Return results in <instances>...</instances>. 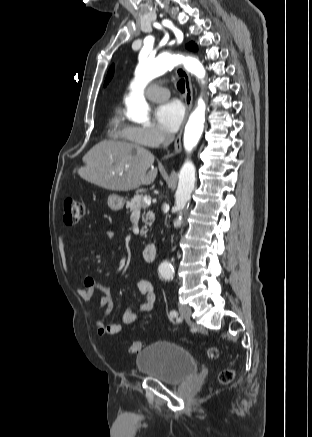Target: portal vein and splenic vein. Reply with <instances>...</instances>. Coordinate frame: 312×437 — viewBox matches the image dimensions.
Masks as SVG:
<instances>
[{
    "mask_svg": "<svg viewBox=\"0 0 312 437\" xmlns=\"http://www.w3.org/2000/svg\"><path fill=\"white\" fill-rule=\"evenodd\" d=\"M143 200H144V202H145L147 205H150V204H151V198H150L149 196H145V197L143 198Z\"/></svg>",
    "mask_w": 312,
    "mask_h": 437,
    "instance_id": "1",
    "label": "portal vein and splenic vein"
}]
</instances>
